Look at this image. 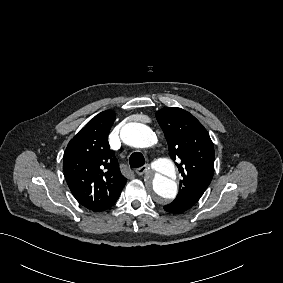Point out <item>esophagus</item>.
Masks as SVG:
<instances>
[{"label": "esophagus", "mask_w": 283, "mask_h": 283, "mask_svg": "<svg viewBox=\"0 0 283 283\" xmlns=\"http://www.w3.org/2000/svg\"><path fill=\"white\" fill-rule=\"evenodd\" d=\"M149 169H150V165H149V164H145V165H143V166L137 168V169L135 170V172H136L138 175H142V174H144V173H145L147 170H149Z\"/></svg>", "instance_id": "esophagus-1"}]
</instances>
